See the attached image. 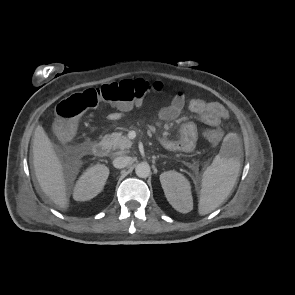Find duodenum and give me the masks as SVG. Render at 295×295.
I'll list each match as a JSON object with an SVG mask.
<instances>
[{
	"mask_svg": "<svg viewBox=\"0 0 295 295\" xmlns=\"http://www.w3.org/2000/svg\"><path fill=\"white\" fill-rule=\"evenodd\" d=\"M83 150L87 153H92L97 157H104L107 155L109 148L106 142L99 141L84 144Z\"/></svg>",
	"mask_w": 295,
	"mask_h": 295,
	"instance_id": "1",
	"label": "duodenum"
}]
</instances>
